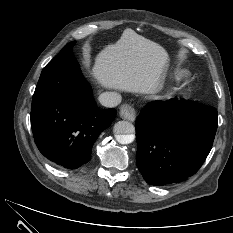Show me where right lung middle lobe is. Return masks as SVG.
I'll return each instance as SVG.
<instances>
[{"label":"right lung middle lobe","mask_w":233,"mask_h":233,"mask_svg":"<svg viewBox=\"0 0 233 233\" xmlns=\"http://www.w3.org/2000/svg\"><path fill=\"white\" fill-rule=\"evenodd\" d=\"M75 43H76V41L68 43L62 50H70V49H72V47L74 46Z\"/></svg>","instance_id":"dd1d6c3e"}]
</instances>
